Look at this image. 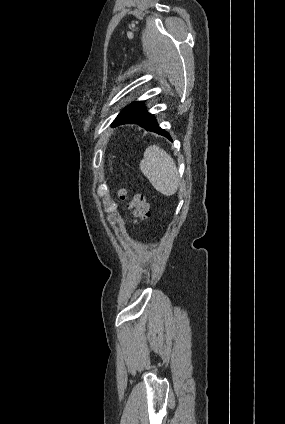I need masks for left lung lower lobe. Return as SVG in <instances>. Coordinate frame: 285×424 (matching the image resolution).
Masks as SVG:
<instances>
[{
  "label": "left lung lower lobe",
  "mask_w": 285,
  "mask_h": 424,
  "mask_svg": "<svg viewBox=\"0 0 285 424\" xmlns=\"http://www.w3.org/2000/svg\"><path fill=\"white\" fill-rule=\"evenodd\" d=\"M120 124H137L147 131L155 132L171 140L170 135L159 127L155 117L146 112L144 102H134L125 107L113 121L112 126Z\"/></svg>",
  "instance_id": "obj_1"
}]
</instances>
